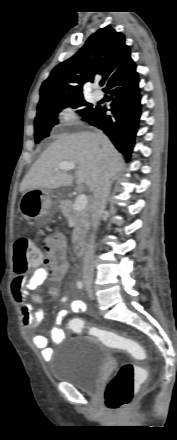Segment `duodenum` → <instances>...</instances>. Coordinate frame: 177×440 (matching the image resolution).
I'll return each instance as SVG.
<instances>
[{
	"label": "duodenum",
	"instance_id": "410a0bca",
	"mask_svg": "<svg viewBox=\"0 0 177 440\" xmlns=\"http://www.w3.org/2000/svg\"><path fill=\"white\" fill-rule=\"evenodd\" d=\"M87 249L86 242L84 240H78L74 244V252L77 256L82 257L85 255Z\"/></svg>",
	"mask_w": 177,
	"mask_h": 440
}]
</instances>
